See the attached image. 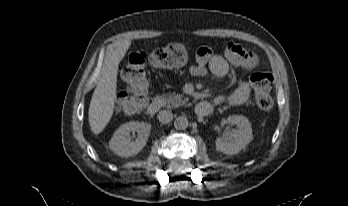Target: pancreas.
<instances>
[{
    "label": "pancreas",
    "instance_id": "1",
    "mask_svg": "<svg viewBox=\"0 0 348 206\" xmlns=\"http://www.w3.org/2000/svg\"><path fill=\"white\" fill-rule=\"evenodd\" d=\"M161 99L164 101L165 106L168 108H178L187 103L188 98H184L183 95L176 93H169L161 96Z\"/></svg>",
    "mask_w": 348,
    "mask_h": 206
}]
</instances>
